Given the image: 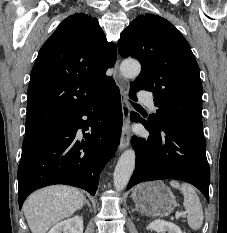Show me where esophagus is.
<instances>
[{
	"label": "esophagus",
	"instance_id": "34e87169",
	"mask_svg": "<svg viewBox=\"0 0 227 233\" xmlns=\"http://www.w3.org/2000/svg\"><path fill=\"white\" fill-rule=\"evenodd\" d=\"M114 79L120 89L121 92V102H122V115H123V128L122 135L119 144V151L124 150L129 146L130 143V103L128 100L129 93V81L122 77L119 71V60H117L116 65L114 67Z\"/></svg>",
	"mask_w": 227,
	"mask_h": 233
}]
</instances>
